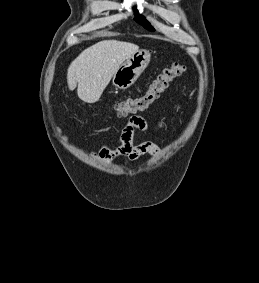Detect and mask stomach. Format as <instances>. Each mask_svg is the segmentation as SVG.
I'll list each match as a JSON object with an SVG mask.
<instances>
[{
	"mask_svg": "<svg viewBox=\"0 0 259 283\" xmlns=\"http://www.w3.org/2000/svg\"><path fill=\"white\" fill-rule=\"evenodd\" d=\"M150 57L145 50L133 53L113 75V84L119 89L129 88L147 67Z\"/></svg>",
	"mask_w": 259,
	"mask_h": 283,
	"instance_id": "0dacf381",
	"label": "stomach"
}]
</instances>
